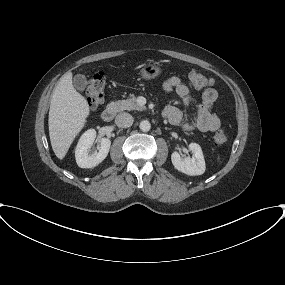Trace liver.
Instances as JSON below:
<instances>
[{
	"mask_svg": "<svg viewBox=\"0 0 285 285\" xmlns=\"http://www.w3.org/2000/svg\"><path fill=\"white\" fill-rule=\"evenodd\" d=\"M89 114L86 99L73 86L72 73L64 74L53 92L48 119L51 146L58 159H64Z\"/></svg>",
	"mask_w": 285,
	"mask_h": 285,
	"instance_id": "6515ba94",
	"label": "liver"
}]
</instances>
